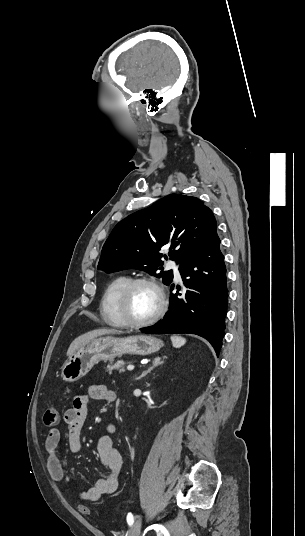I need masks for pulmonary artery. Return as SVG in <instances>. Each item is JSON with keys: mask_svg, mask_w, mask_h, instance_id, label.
<instances>
[{"mask_svg": "<svg viewBox=\"0 0 305 536\" xmlns=\"http://www.w3.org/2000/svg\"><path fill=\"white\" fill-rule=\"evenodd\" d=\"M167 266L173 270V273H174V277L177 281H180L181 279V273H180V270H179V265L177 262L175 261H169L167 263Z\"/></svg>", "mask_w": 305, "mask_h": 536, "instance_id": "1", "label": "pulmonary artery"}]
</instances>
